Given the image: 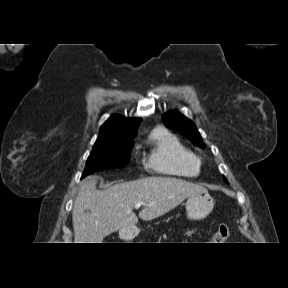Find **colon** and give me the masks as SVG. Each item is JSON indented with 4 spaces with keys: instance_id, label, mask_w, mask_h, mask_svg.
Instances as JSON below:
<instances>
[{
    "instance_id": "colon-1",
    "label": "colon",
    "mask_w": 288,
    "mask_h": 288,
    "mask_svg": "<svg viewBox=\"0 0 288 288\" xmlns=\"http://www.w3.org/2000/svg\"><path fill=\"white\" fill-rule=\"evenodd\" d=\"M229 233V227L226 224H221L217 228L216 232L211 236L210 242L222 243L228 238Z\"/></svg>"
}]
</instances>
